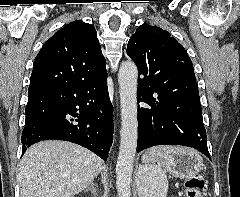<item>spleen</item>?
I'll list each match as a JSON object with an SVG mask.
<instances>
[{
  "mask_svg": "<svg viewBox=\"0 0 240 197\" xmlns=\"http://www.w3.org/2000/svg\"><path fill=\"white\" fill-rule=\"evenodd\" d=\"M182 150L183 148L175 146H156L148 150V153L156 157L157 165H144L140 169L139 175L144 182L140 190L141 197H166L168 180L165 170L162 169L163 162L169 161L171 154Z\"/></svg>",
  "mask_w": 240,
  "mask_h": 197,
  "instance_id": "spleen-1",
  "label": "spleen"
}]
</instances>
